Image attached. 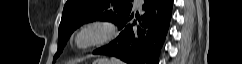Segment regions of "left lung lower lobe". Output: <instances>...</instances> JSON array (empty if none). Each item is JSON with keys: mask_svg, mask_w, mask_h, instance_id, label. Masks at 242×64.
<instances>
[{"mask_svg": "<svg viewBox=\"0 0 242 64\" xmlns=\"http://www.w3.org/2000/svg\"><path fill=\"white\" fill-rule=\"evenodd\" d=\"M145 14L130 21L132 8L117 23L123 31L110 44L93 52L119 58L128 64H158L172 16L173 0H144Z\"/></svg>", "mask_w": 242, "mask_h": 64, "instance_id": "left-lung-lower-lobe-1", "label": "left lung lower lobe"}]
</instances>
